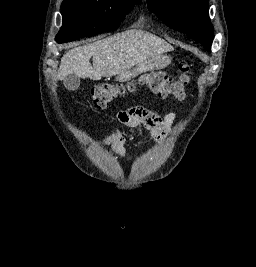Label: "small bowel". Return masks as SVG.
I'll return each instance as SVG.
<instances>
[{
	"label": "small bowel",
	"mask_w": 256,
	"mask_h": 267,
	"mask_svg": "<svg viewBox=\"0 0 256 267\" xmlns=\"http://www.w3.org/2000/svg\"><path fill=\"white\" fill-rule=\"evenodd\" d=\"M116 118L121 123L132 127H144L150 130L152 137L158 143L163 142L172 130L176 114L169 112L164 116L155 113L140 106H132L125 110L119 111ZM110 144L112 147V154L118 158L123 159L125 156L126 139L122 135L118 127L114 126L110 135L101 138L97 141L96 146Z\"/></svg>",
	"instance_id": "obj_1"
}]
</instances>
